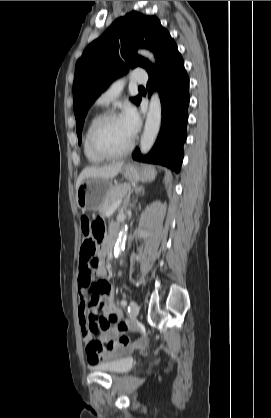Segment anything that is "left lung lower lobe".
Listing matches in <instances>:
<instances>
[{"mask_svg": "<svg viewBox=\"0 0 271 418\" xmlns=\"http://www.w3.org/2000/svg\"><path fill=\"white\" fill-rule=\"evenodd\" d=\"M147 72L149 96L156 86L161 98V130L148 155L142 156L139 149H136L132 157L138 161L160 164L179 172L183 160V144L187 137L189 78L182 56L171 37L164 45L157 66ZM140 101L141 99L138 104Z\"/></svg>", "mask_w": 271, "mask_h": 418, "instance_id": "1", "label": "left lung lower lobe"}]
</instances>
